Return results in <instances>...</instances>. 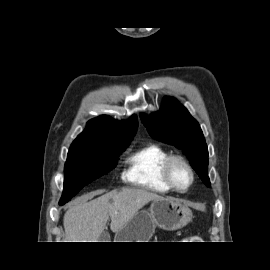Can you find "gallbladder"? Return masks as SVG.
<instances>
[{"mask_svg":"<svg viewBox=\"0 0 270 270\" xmlns=\"http://www.w3.org/2000/svg\"><path fill=\"white\" fill-rule=\"evenodd\" d=\"M99 242H109L110 241V234L107 231H103L99 237Z\"/></svg>","mask_w":270,"mask_h":270,"instance_id":"obj_1","label":"gallbladder"}]
</instances>
